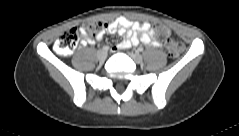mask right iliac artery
<instances>
[{
  "label": "right iliac artery",
  "mask_w": 239,
  "mask_h": 136,
  "mask_svg": "<svg viewBox=\"0 0 239 136\" xmlns=\"http://www.w3.org/2000/svg\"><path fill=\"white\" fill-rule=\"evenodd\" d=\"M108 49H109L108 46H104V47H103V50H106V51H107Z\"/></svg>",
  "instance_id": "82829eb1"
}]
</instances>
